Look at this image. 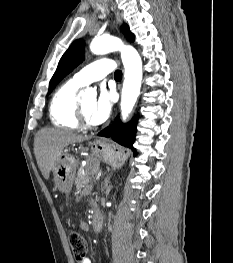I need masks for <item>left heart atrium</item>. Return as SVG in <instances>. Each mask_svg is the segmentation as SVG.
I'll list each match as a JSON object with an SVG mask.
<instances>
[{
	"mask_svg": "<svg viewBox=\"0 0 233 263\" xmlns=\"http://www.w3.org/2000/svg\"><path fill=\"white\" fill-rule=\"evenodd\" d=\"M113 106V92L102 87L90 114V121L94 125L103 123L110 115Z\"/></svg>",
	"mask_w": 233,
	"mask_h": 263,
	"instance_id": "obj_1",
	"label": "left heart atrium"
}]
</instances>
